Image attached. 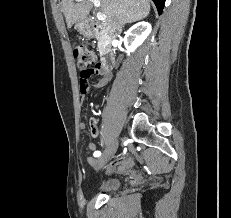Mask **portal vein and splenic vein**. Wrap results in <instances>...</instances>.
<instances>
[{"label": "portal vein and splenic vein", "instance_id": "portal-vein-and-splenic-vein-1", "mask_svg": "<svg viewBox=\"0 0 231 218\" xmlns=\"http://www.w3.org/2000/svg\"><path fill=\"white\" fill-rule=\"evenodd\" d=\"M77 1H80V0H77ZM92 2H93V4H94V6H96V7H99V6L101 5L100 0H92ZM105 18H106L105 14L100 13V12L97 13V19H98L99 21H104Z\"/></svg>", "mask_w": 231, "mask_h": 218}]
</instances>
